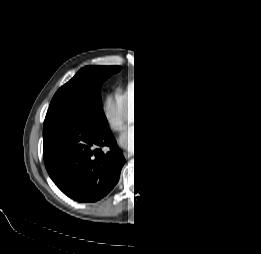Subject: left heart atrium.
Returning a JSON list of instances; mask_svg holds the SVG:
<instances>
[{
  "label": "left heart atrium",
  "instance_id": "obj_1",
  "mask_svg": "<svg viewBox=\"0 0 261 254\" xmlns=\"http://www.w3.org/2000/svg\"><path fill=\"white\" fill-rule=\"evenodd\" d=\"M123 143L126 146L135 147L139 146L140 143L142 146L150 145L151 143V136L147 130H145L144 127L138 128L136 130H129L126 132L123 137ZM136 141V142H135Z\"/></svg>",
  "mask_w": 261,
  "mask_h": 254
}]
</instances>
